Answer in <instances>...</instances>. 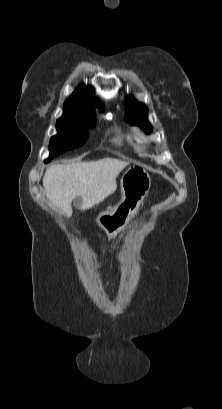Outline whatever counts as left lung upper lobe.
Listing matches in <instances>:
<instances>
[{
  "label": "left lung upper lobe",
  "instance_id": "1",
  "mask_svg": "<svg viewBox=\"0 0 222 409\" xmlns=\"http://www.w3.org/2000/svg\"><path fill=\"white\" fill-rule=\"evenodd\" d=\"M148 109L143 104H138L133 98L129 99L126 107V121L132 125H138L146 133H150L152 127L147 119Z\"/></svg>",
  "mask_w": 222,
  "mask_h": 409
}]
</instances>
